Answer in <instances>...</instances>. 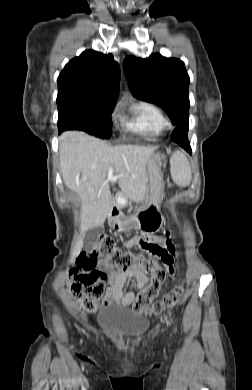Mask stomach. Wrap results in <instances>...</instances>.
<instances>
[{
	"mask_svg": "<svg viewBox=\"0 0 252 390\" xmlns=\"http://www.w3.org/2000/svg\"><path fill=\"white\" fill-rule=\"evenodd\" d=\"M150 192L145 204L129 218L110 219L111 226L116 230H124L134 226L144 231H154L162 221L160 203L163 193V179L158 155L152 156L146 166Z\"/></svg>",
	"mask_w": 252,
	"mask_h": 390,
	"instance_id": "0dacf381",
	"label": "stomach"
}]
</instances>
